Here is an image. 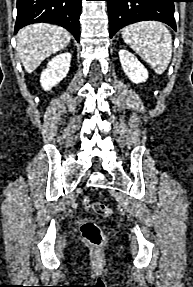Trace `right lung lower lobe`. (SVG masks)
<instances>
[{"mask_svg": "<svg viewBox=\"0 0 193 287\" xmlns=\"http://www.w3.org/2000/svg\"><path fill=\"white\" fill-rule=\"evenodd\" d=\"M82 0H17L15 33L25 25L47 22L69 30L79 42Z\"/></svg>", "mask_w": 193, "mask_h": 287, "instance_id": "obj_1", "label": "right lung lower lobe"}]
</instances>
